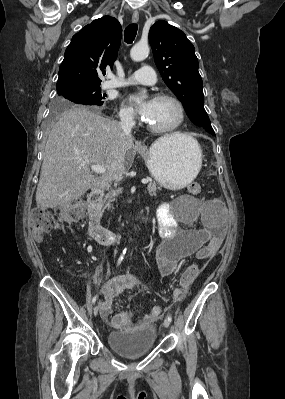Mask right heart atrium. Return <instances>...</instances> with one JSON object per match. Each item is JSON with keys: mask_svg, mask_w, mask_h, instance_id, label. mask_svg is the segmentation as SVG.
I'll use <instances>...</instances> for the list:
<instances>
[{"mask_svg": "<svg viewBox=\"0 0 285 399\" xmlns=\"http://www.w3.org/2000/svg\"><path fill=\"white\" fill-rule=\"evenodd\" d=\"M120 117L126 121H133L135 119L133 108L130 106H123L120 110Z\"/></svg>", "mask_w": 285, "mask_h": 399, "instance_id": "d8ad5b80", "label": "right heart atrium"}]
</instances>
